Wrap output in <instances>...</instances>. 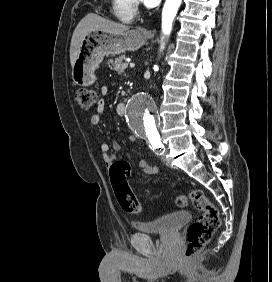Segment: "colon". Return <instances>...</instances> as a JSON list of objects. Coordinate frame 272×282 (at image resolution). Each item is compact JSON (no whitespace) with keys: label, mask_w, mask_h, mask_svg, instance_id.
I'll return each instance as SVG.
<instances>
[{"label":"colon","mask_w":272,"mask_h":282,"mask_svg":"<svg viewBox=\"0 0 272 282\" xmlns=\"http://www.w3.org/2000/svg\"><path fill=\"white\" fill-rule=\"evenodd\" d=\"M75 101L82 110H91L97 103V95L87 88H79L75 92ZM113 176L114 193L121 208L132 214H140L142 205L136 199L132 189L127 183L128 169L123 162H116L111 167ZM190 199L192 205L201 212L196 221L188 228L185 259L191 261L210 240L215 230L220 225L219 211L201 189H192L189 194H179L175 203L183 208Z\"/></svg>","instance_id":"1"}]
</instances>
